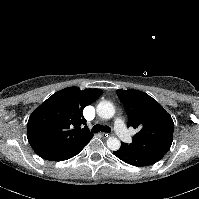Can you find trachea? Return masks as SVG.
<instances>
[{"mask_svg":"<svg viewBox=\"0 0 199 199\" xmlns=\"http://www.w3.org/2000/svg\"><path fill=\"white\" fill-rule=\"evenodd\" d=\"M91 131H92V133H98L100 131L110 133L111 128L109 126H103L100 124H96L95 126H93Z\"/></svg>","mask_w":199,"mask_h":199,"instance_id":"1","label":"trachea"}]
</instances>
